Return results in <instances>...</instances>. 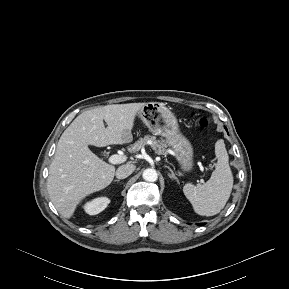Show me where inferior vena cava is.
<instances>
[{
	"label": "inferior vena cava",
	"mask_w": 289,
	"mask_h": 289,
	"mask_svg": "<svg viewBox=\"0 0 289 289\" xmlns=\"http://www.w3.org/2000/svg\"><path fill=\"white\" fill-rule=\"evenodd\" d=\"M135 168L136 166L133 164L122 165L116 170V177L118 179H125L134 172Z\"/></svg>",
	"instance_id": "obj_1"
}]
</instances>
